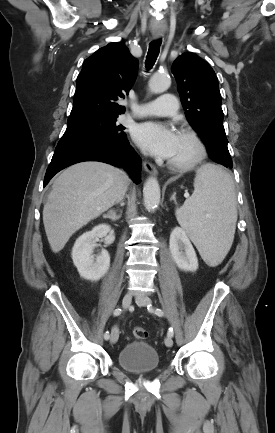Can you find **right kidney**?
<instances>
[{"instance_id":"1","label":"right kidney","mask_w":275,"mask_h":433,"mask_svg":"<svg viewBox=\"0 0 275 433\" xmlns=\"http://www.w3.org/2000/svg\"><path fill=\"white\" fill-rule=\"evenodd\" d=\"M98 238H104L105 244H112L115 240L114 232L107 224H100L91 231L81 235L72 249V259L80 276L91 281H98L110 267V256L107 250H102L94 258L93 250Z\"/></svg>"}]
</instances>
